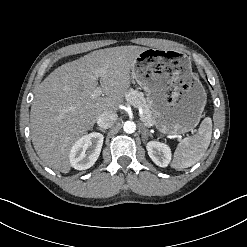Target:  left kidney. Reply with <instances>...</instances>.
<instances>
[{"label": "left kidney", "instance_id": "left-kidney-1", "mask_svg": "<svg viewBox=\"0 0 247 247\" xmlns=\"http://www.w3.org/2000/svg\"><path fill=\"white\" fill-rule=\"evenodd\" d=\"M147 151L152 161L159 167H167L171 161V150L164 144L157 141L147 143Z\"/></svg>", "mask_w": 247, "mask_h": 247}]
</instances>
